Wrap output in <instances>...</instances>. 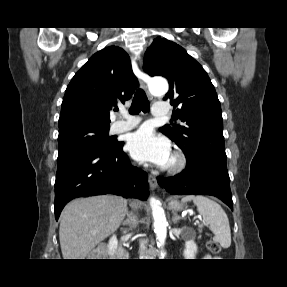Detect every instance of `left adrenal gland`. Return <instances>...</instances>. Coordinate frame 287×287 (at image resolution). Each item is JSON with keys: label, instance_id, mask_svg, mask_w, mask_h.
<instances>
[{"label": "left adrenal gland", "instance_id": "left-adrenal-gland-1", "mask_svg": "<svg viewBox=\"0 0 287 287\" xmlns=\"http://www.w3.org/2000/svg\"><path fill=\"white\" fill-rule=\"evenodd\" d=\"M181 219L182 218L180 216H178L176 212H173V218H172L173 223H177Z\"/></svg>", "mask_w": 287, "mask_h": 287}]
</instances>
